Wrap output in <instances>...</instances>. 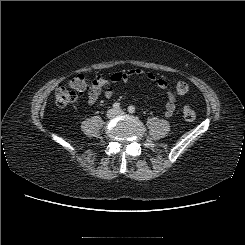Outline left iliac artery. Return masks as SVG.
I'll return each instance as SVG.
<instances>
[{
  "label": "left iliac artery",
  "mask_w": 245,
  "mask_h": 245,
  "mask_svg": "<svg viewBox=\"0 0 245 245\" xmlns=\"http://www.w3.org/2000/svg\"><path fill=\"white\" fill-rule=\"evenodd\" d=\"M128 112H129V113H135V107L132 106V105H130V106L128 107Z\"/></svg>",
  "instance_id": "44dca946"
}]
</instances>
